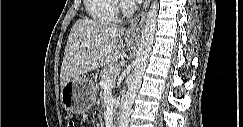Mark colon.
I'll list each match as a JSON object with an SVG mask.
<instances>
[{"instance_id": "1", "label": "colon", "mask_w": 243, "mask_h": 127, "mask_svg": "<svg viewBox=\"0 0 243 127\" xmlns=\"http://www.w3.org/2000/svg\"><path fill=\"white\" fill-rule=\"evenodd\" d=\"M67 126H68V127H74V126H75L74 121L70 120V121L67 123Z\"/></svg>"}]
</instances>
